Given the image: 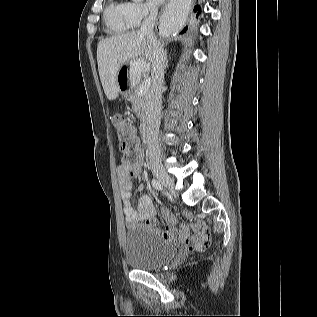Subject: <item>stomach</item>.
I'll list each match as a JSON object with an SVG mask.
<instances>
[{
    "label": "stomach",
    "mask_w": 317,
    "mask_h": 317,
    "mask_svg": "<svg viewBox=\"0 0 317 317\" xmlns=\"http://www.w3.org/2000/svg\"><path fill=\"white\" fill-rule=\"evenodd\" d=\"M147 65V59H127L117 74L116 91L119 94H130L134 84L142 83V76L139 74H146Z\"/></svg>",
    "instance_id": "0dacf381"
}]
</instances>
